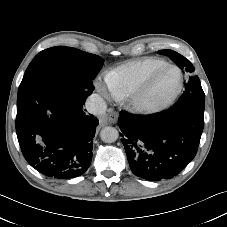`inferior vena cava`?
Wrapping results in <instances>:
<instances>
[{"mask_svg": "<svg viewBox=\"0 0 227 227\" xmlns=\"http://www.w3.org/2000/svg\"><path fill=\"white\" fill-rule=\"evenodd\" d=\"M85 106L87 111L93 115H101L107 109L105 100L98 94L90 95L86 100Z\"/></svg>", "mask_w": 227, "mask_h": 227, "instance_id": "1", "label": "inferior vena cava"}]
</instances>
